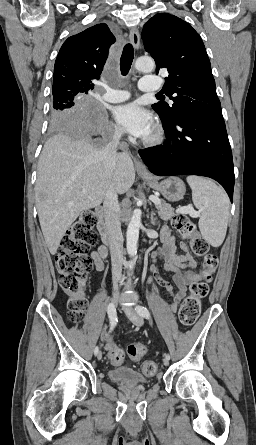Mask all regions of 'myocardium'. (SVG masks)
<instances>
[{"label": "myocardium", "instance_id": "myocardium-1", "mask_svg": "<svg viewBox=\"0 0 256 445\" xmlns=\"http://www.w3.org/2000/svg\"><path fill=\"white\" fill-rule=\"evenodd\" d=\"M164 138V133L161 127L157 126L154 131L144 140L147 146L159 145Z\"/></svg>", "mask_w": 256, "mask_h": 445}]
</instances>
